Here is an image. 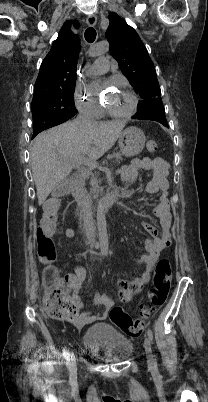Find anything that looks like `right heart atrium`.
<instances>
[{
    "instance_id": "obj_1",
    "label": "right heart atrium",
    "mask_w": 208,
    "mask_h": 402,
    "mask_svg": "<svg viewBox=\"0 0 208 402\" xmlns=\"http://www.w3.org/2000/svg\"><path fill=\"white\" fill-rule=\"evenodd\" d=\"M73 98L78 109L89 119L97 120L103 115V108L98 98L84 85L76 84Z\"/></svg>"
}]
</instances>
